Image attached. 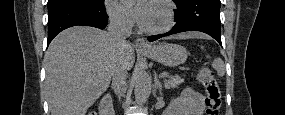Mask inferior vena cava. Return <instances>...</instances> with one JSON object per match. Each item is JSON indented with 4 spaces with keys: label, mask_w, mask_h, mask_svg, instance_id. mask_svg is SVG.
<instances>
[{
    "label": "inferior vena cava",
    "mask_w": 285,
    "mask_h": 115,
    "mask_svg": "<svg viewBox=\"0 0 285 115\" xmlns=\"http://www.w3.org/2000/svg\"><path fill=\"white\" fill-rule=\"evenodd\" d=\"M133 23L124 15L118 14L110 17V23L108 26V37L113 45L118 49V56L116 63L112 71V84L115 87L117 93L122 98L127 95L125 90V81L127 78V69L123 61L124 48L128 42L126 38L131 35ZM124 106L123 102L117 103V109L121 110Z\"/></svg>",
    "instance_id": "602c4592"
}]
</instances>
